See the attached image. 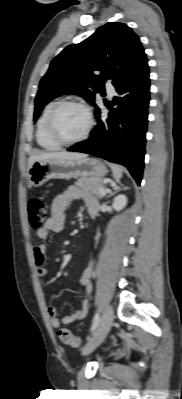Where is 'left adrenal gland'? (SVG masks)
<instances>
[{"label": "left adrenal gland", "instance_id": "obj_1", "mask_svg": "<svg viewBox=\"0 0 182 399\" xmlns=\"http://www.w3.org/2000/svg\"><path fill=\"white\" fill-rule=\"evenodd\" d=\"M119 189H120V188H119L118 186H114L115 192H117ZM112 194H113V193H110L109 196L112 195Z\"/></svg>", "mask_w": 182, "mask_h": 399}]
</instances>
